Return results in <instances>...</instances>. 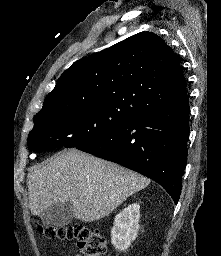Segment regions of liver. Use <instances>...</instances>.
I'll return each instance as SVG.
<instances>
[{
  "mask_svg": "<svg viewBox=\"0 0 221 256\" xmlns=\"http://www.w3.org/2000/svg\"><path fill=\"white\" fill-rule=\"evenodd\" d=\"M150 180L77 149L55 155L27 176L29 208L41 216L55 203L70 202L73 217L93 222L108 216Z\"/></svg>",
  "mask_w": 221,
  "mask_h": 256,
  "instance_id": "liver-1",
  "label": "liver"
}]
</instances>
